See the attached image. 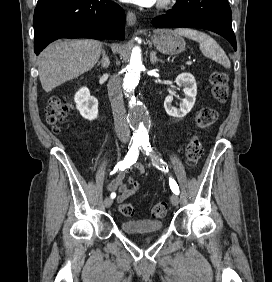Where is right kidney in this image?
<instances>
[{
	"label": "right kidney",
	"mask_w": 272,
	"mask_h": 282,
	"mask_svg": "<svg viewBox=\"0 0 272 282\" xmlns=\"http://www.w3.org/2000/svg\"><path fill=\"white\" fill-rule=\"evenodd\" d=\"M76 108L81 116L89 121L95 120L98 115V100L90 95L87 87H82L74 96Z\"/></svg>",
	"instance_id": "right-kidney-1"
}]
</instances>
